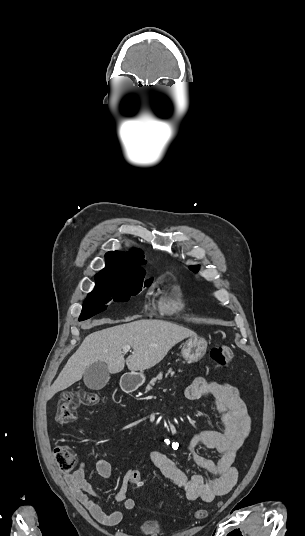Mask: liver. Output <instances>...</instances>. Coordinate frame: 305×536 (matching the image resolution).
Returning <instances> with one entry per match:
<instances>
[{
  "label": "liver",
  "mask_w": 305,
  "mask_h": 536,
  "mask_svg": "<svg viewBox=\"0 0 305 536\" xmlns=\"http://www.w3.org/2000/svg\"><path fill=\"white\" fill-rule=\"evenodd\" d=\"M139 316L127 318L122 326L93 332L83 340L77 352L69 358L57 380L46 392V400H51L57 392L66 390L81 380L86 368L94 362H105L110 374H118L127 364L128 370H149L165 358L167 352L185 338H195V332L163 322V320H137ZM101 324H116L114 320H101ZM123 346H131L132 356L124 360Z\"/></svg>",
  "instance_id": "obj_1"
}]
</instances>
